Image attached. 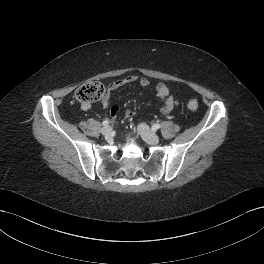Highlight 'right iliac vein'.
<instances>
[{"instance_id":"1","label":"right iliac vein","mask_w":264,"mask_h":264,"mask_svg":"<svg viewBox=\"0 0 264 264\" xmlns=\"http://www.w3.org/2000/svg\"><path fill=\"white\" fill-rule=\"evenodd\" d=\"M111 127L110 126H105L101 129V133L104 135V136H109L111 134Z\"/></svg>"}]
</instances>
